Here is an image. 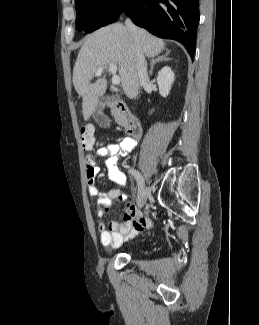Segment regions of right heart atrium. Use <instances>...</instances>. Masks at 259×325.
Returning <instances> with one entry per match:
<instances>
[{
  "label": "right heart atrium",
  "mask_w": 259,
  "mask_h": 325,
  "mask_svg": "<svg viewBox=\"0 0 259 325\" xmlns=\"http://www.w3.org/2000/svg\"><path fill=\"white\" fill-rule=\"evenodd\" d=\"M103 2L106 5H114L117 2V0H103Z\"/></svg>",
  "instance_id": "obj_1"
}]
</instances>
